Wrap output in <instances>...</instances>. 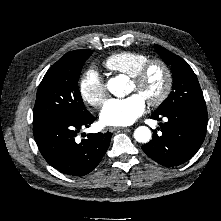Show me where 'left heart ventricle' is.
I'll list each match as a JSON object with an SVG mask.
<instances>
[{
    "mask_svg": "<svg viewBox=\"0 0 221 221\" xmlns=\"http://www.w3.org/2000/svg\"><path fill=\"white\" fill-rule=\"evenodd\" d=\"M164 86V74L159 67H154L147 76L143 85L138 88L133 82L131 83V91L137 92L145 100L159 95Z\"/></svg>",
    "mask_w": 221,
    "mask_h": 221,
    "instance_id": "obj_1",
    "label": "left heart ventricle"
}]
</instances>
